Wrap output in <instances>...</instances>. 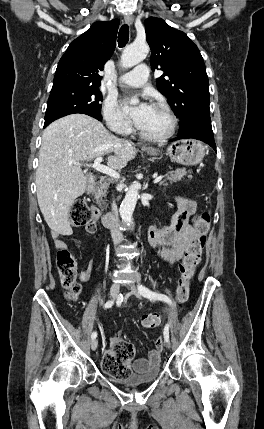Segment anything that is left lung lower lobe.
Returning a JSON list of instances; mask_svg holds the SVG:
<instances>
[{
  "label": "left lung lower lobe",
  "mask_w": 264,
  "mask_h": 429,
  "mask_svg": "<svg viewBox=\"0 0 264 429\" xmlns=\"http://www.w3.org/2000/svg\"><path fill=\"white\" fill-rule=\"evenodd\" d=\"M186 138L201 140L209 144L216 151L210 117L198 119L188 130L183 132L180 131L178 137L171 139L170 141Z\"/></svg>",
  "instance_id": "left-lung-lower-lobe-1"
}]
</instances>
